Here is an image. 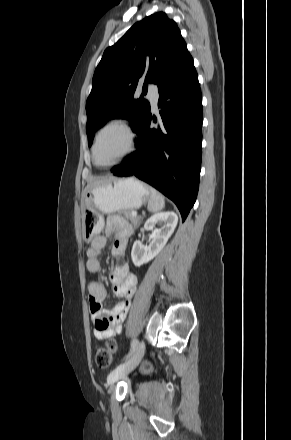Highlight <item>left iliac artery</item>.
Instances as JSON below:
<instances>
[{
	"mask_svg": "<svg viewBox=\"0 0 291 440\" xmlns=\"http://www.w3.org/2000/svg\"><path fill=\"white\" fill-rule=\"evenodd\" d=\"M137 347H138V340L137 339H133L132 342H131L130 352L126 356V359L136 350Z\"/></svg>",
	"mask_w": 291,
	"mask_h": 440,
	"instance_id": "1",
	"label": "left iliac artery"
}]
</instances>
